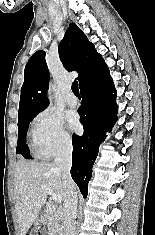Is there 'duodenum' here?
I'll return each mask as SVG.
<instances>
[{
  "instance_id": "obj_1",
  "label": "duodenum",
  "mask_w": 155,
  "mask_h": 235,
  "mask_svg": "<svg viewBox=\"0 0 155 235\" xmlns=\"http://www.w3.org/2000/svg\"><path fill=\"white\" fill-rule=\"evenodd\" d=\"M44 212H45L46 216H50V215H53V214L54 215H59V214L62 213V209L48 206V207L45 208Z\"/></svg>"
}]
</instances>
